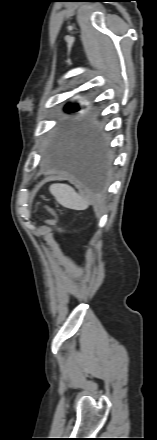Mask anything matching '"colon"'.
Masks as SVG:
<instances>
[{"instance_id":"colon-1","label":"colon","mask_w":157,"mask_h":440,"mask_svg":"<svg viewBox=\"0 0 157 440\" xmlns=\"http://www.w3.org/2000/svg\"><path fill=\"white\" fill-rule=\"evenodd\" d=\"M48 210L50 211V213L52 214V218L50 220L47 221L48 224H53L56 221V211L54 208L48 207Z\"/></svg>"}]
</instances>
